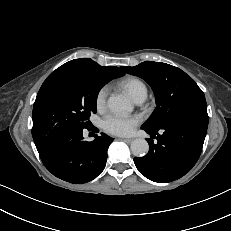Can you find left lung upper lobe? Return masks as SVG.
<instances>
[{
	"mask_svg": "<svg viewBox=\"0 0 231 231\" xmlns=\"http://www.w3.org/2000/svg\"><path fill=\"white\" fill-rule=\"evenodd\" d=\"M121 68L128 74L143 78L154 91L157 107L143 126L157 128L183 115L207 114L204 93L181 69L153 61Z\"/></svg>",
	"mask_w": 231,
	"mask_h": 231,
	"instance_id": "5c2ea615",
	"label": "left lung upper lobe"
}]
</instances>
